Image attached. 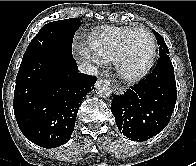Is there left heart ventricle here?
Returning <instances> with one entry per match:
<instances>
[{
	"label": "left heart ventricle",
	"instance_id": "obj_1",
	"mask_svg": "<svg viewBox=\"0 0 196 166\" xmlns=\"http://www.w3.org/2000/svg\"><path fill=\"white\" fill-rule=\"evenodd\" d=\"M150 54V39L145 32L135 33L129 43V54L125 60L124 68L133 72L141 68Z\"/></svg>",
	"mask_w": 196,
	"mask_h": 166
}]
</instances>
